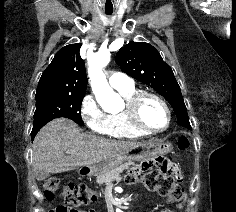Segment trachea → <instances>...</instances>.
<instances>
[{"instance_id": "3493384b", "label": "trachea", "mask_w": 236, "mask_h": 212, "mask_svg": "<svg viewBox=\"0 0 236 212\" xmlns=\"http://www.w3.org/2000/svg\"><path fill=\"white\" fill-rule=\"evenodd\" d=\"M106 14H107V15H111V14H112V12H106Z\"/></svg>"}]
</instances>
